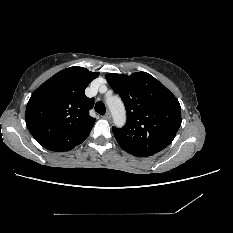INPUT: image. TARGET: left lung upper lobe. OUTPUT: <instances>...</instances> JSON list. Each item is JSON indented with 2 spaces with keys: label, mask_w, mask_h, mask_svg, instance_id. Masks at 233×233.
<instances>
[{
  "label": "left lung upper lobe",
  "mask_w": 233,
  "mask_h": 233,
  "mask_svg": "<svg viewBox=\"0 0 233 233\" xmlns=\"http://www.w3.org/2000/svg\"><path fill=\"white\" fill-rule=\"evenodd\" d=\"M106 79L123 100L127 112L125 126L112 128L118 144L140 157L151 156L167 147L181 125L177 98L146 72L130 76L107 74Z\"/></svg>",
  "instance_id": "5c2ea615"
}]
</instances>
